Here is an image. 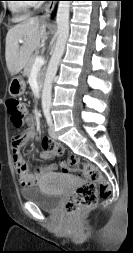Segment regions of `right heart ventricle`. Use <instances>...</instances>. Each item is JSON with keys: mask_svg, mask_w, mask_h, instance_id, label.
Instances as JSON below:
<instances>
[{"mask_svg": "<svg viewBox=\"0 0 133 253\" xmlns=\"http://www.w3.org/2000/svg\"><path fill=\"white\" fill-rule=\"evenodd\" d=\"M15 21H22L30 14V4L23 0H14L9 4Z\"/></svg>", "mask_w": 133, "mask_h": 253, "instance_id": "e07e8e85", "label": "right heart ventricle"}]
</instances>
